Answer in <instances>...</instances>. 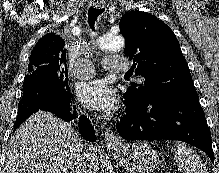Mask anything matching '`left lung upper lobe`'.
Here are the masks:
<instances>
[{
	"label": "left lung upper lobe",
	"mask_w": 219,
	"mask_h": 173,
	"mask_svg": "<svg viewBox=\"0 0 219 173\" xmlns=\"http://www.w3.org/2000/svg\"><path fill=\"white\" fill-rule=\"evenodd\" d=\"M125 36V54L135 73L144 78L131 83L124 99L134 105L160 103L184 95H196L187 62L174 32L146 12L132 11L119 23Z\"/></svg>",
	"instance_id": "1"
}]
</instances>
